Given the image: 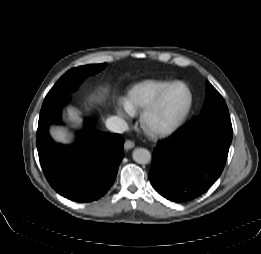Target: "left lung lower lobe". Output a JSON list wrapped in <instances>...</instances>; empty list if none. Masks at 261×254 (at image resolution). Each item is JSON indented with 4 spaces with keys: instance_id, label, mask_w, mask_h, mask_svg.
Listing matches in <instances>:
<instances>
[{
    "instance_id": "0a47b994",
    "label": "left lung lower lobe",
    "mask_w": 261,
    "mask_h": 254,
    "mask_svg": "<svg viewBox=\"0 0 261 254\" xmlns=\"http://www.w3.org/2000/svg\"><path fill=\"white\" fill-rule=\"evenodd\" d=\"M231 141V123L185 126L154 149L149 172L153 187L174 202L201 196L221 175Z\"/></svg>"
}]
</instances>
